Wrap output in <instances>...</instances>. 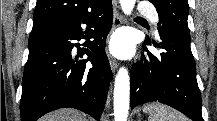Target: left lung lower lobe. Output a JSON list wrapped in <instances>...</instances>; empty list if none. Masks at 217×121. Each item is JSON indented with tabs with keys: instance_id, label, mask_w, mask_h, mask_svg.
<instances>
[{
	"instance_id": "0a47b994",
	"label": "left lung lower lobe",
	"mask_w": 217,
	"mask_h": 121,
	"mask_svg": "<svg viewBox=\"0 0 217 121\" xmlns=\"http://www.w3.org/2000/svg\"><path fill=\"white\" fill-rule=\"evenodd\" d=\"M159 35V43L147 37L144 47L153 45L163 52L155 56L145 48L148 58L142 54L141 62L132 67L131 108L157 101L179 110L193 121H203L190 40L167 26L161 27Z\"/></svg>"
}]
</instances>
